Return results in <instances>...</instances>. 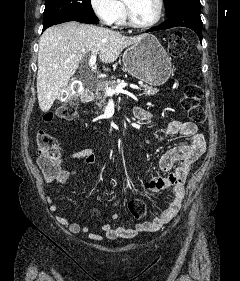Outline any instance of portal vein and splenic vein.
<instances>
[{
	"instance_id": "obj_1",
	"label": "portal vein and splenic vein",
	"mask_w": 240,
	"mask_h": 281,
	"mask_svg": "<svg viewBox=\"0 0 240 281\" xmlns=\"http://www.w3.org/2000/svg\"><path fill=\"white\" fill-rule=\"evenodd\" d=\"M96 64V55H91L90 56V59H89V67L91 69H94V66ZM127 86L126 83H121L119 85H117L114 89L106 86V94L109 96V97H112L113 95L115 94H118V93H124L125 90L123 88H125ZM131 88H134V89H139V87H134L132 85H130Z\"/></svg>"
}]
</instances>
